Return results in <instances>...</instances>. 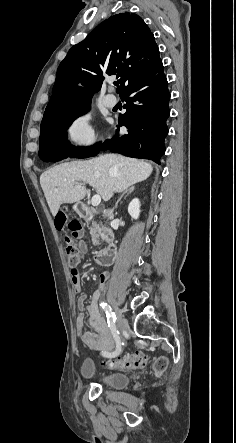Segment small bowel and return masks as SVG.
Returning a JSON list of instances; mask_svg holds the SVG:
<instances>
[{
    "label": "small bowel",
    "instance_id": "c3829d8e",
    "mask_svg": "<svg viewBox=\"0 0 236 443\" xmlns=\"http://www.w3.org/2000/svg\"><path fill=\"white\" fill-rule=\"evenodd\" d=\"M79 249L82 252H87L88 248L84 243L79 244ZM107 279L108 273L102 272L99 276L98 287L93 294V302L86 307V312L89 316V325L85 327L84 324V307L86 303V297L80 296L78 300V306L80 312L76 318V325L81 331L80 340L81 343L91 349L107 351L114 348L116 340L112 335L110 327L106 320L102 317L96 301L102 296V294L107 290ZM72 281L74 286V291L77 294L82 292V284L79 279V274L77 270H72Z\"/></svg>",
    "mask_w": 236,
    "mask_h": 443
}]
</instances>
